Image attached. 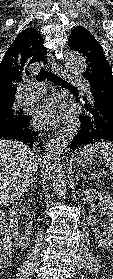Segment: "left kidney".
Instances as JSON below:
<instances>
[{
    "instance_id": "1",
    "label": "left kidney",
    "mask_w": 113,
    "mask_h": 279,
    "mask_svg": "<svg viewBox=\"0 0 113 279\" xmlns=\"http://www.w3.org/2000/svg\"><path fill=\"white\" fill-rule=\"evenodd\" d=\"M82 200L89 204L99 200L103 210L107 212L108 222L106 223L105 232L101 234L97 228H94L93 232L99 248H110L113 245V197L95 189H86L82 193Z\"/></svg>"
}]
</instances>
